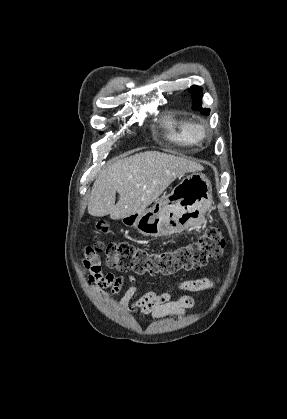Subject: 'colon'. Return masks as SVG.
Segmentation results:
<instances>
[{"label": "colon", "mask_w": 287, "mask_h": 419, "mask_svg": "<svg viewBox=\"0 0 287 419\" xmlns=\"http://www.w3.org/2000/svg\"><path fill=\"white\" fill-rule=\"evenodd\" d=\"M108 229L107 221H98L96 233H104ZM224 247L225 239L215 225L209 226L197 241L172 251L154 252L128 243H104L99 239L94 244V250L105 255L108 266L151 276L199 270L210 260L218 258Z\"/></svg>", "instance_id": "obj_1"}]
</instances>
